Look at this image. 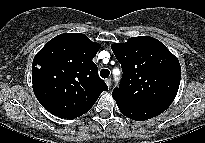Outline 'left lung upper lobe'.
<instances>
[{"label":"left lung upper lobe","instance_id":"left-lung-upper-lobe-1","mask_svg":"<svg viewBox=\"0 0 205 143\" xmlns=\"http://www.w3.org/2000/svg\"><path fill=\"white\" fill-rule=\"evenodd\" d=\"M111 49L121 63L123 76L112 97L117 104L134 107L169 106L179 88L181 67L178 59L159 40L132 37Z\"/></svg>","mask_w":205,"mask_h":143}]
</instances>
